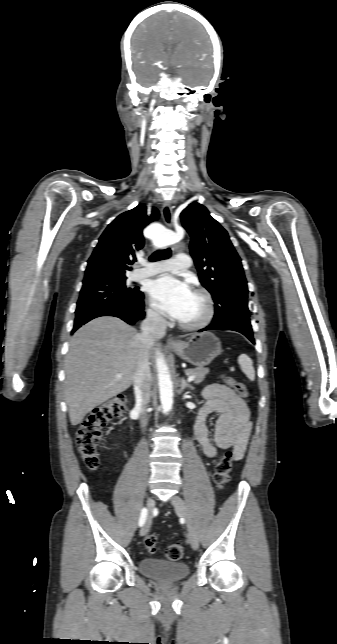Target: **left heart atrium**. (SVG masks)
Listing matches in <instances>:
<instances>
[{
	"label": "left heart atrium",
	"instance_id": "obj_1",
	"mask_svg": "<svg viewBox=\"0 0 337 644\" xmlns=\"http://www.w3.org/2000/svg\"><path fill=\"white\" fill-rule=\"evenodd\" d=\"M149 294L153 306L158 311L180 320L186 312L193 292L185 282L165 275L151 282Z\"/></svg>",
	"mask_w": 337,
	"mask_h": 644
}]
</instances>
